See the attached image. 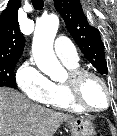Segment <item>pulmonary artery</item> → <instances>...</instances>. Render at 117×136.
Listing matches in <instances>:
<instances>
[{
	"label": "pulmonary artery",
	"instance_id": "1",
	"mask_svg": "<svg viewBox=\"0 0 117 136\" xmlns=\"http://www.w3.org/2000/svg\"><path fill=\"white\" fill-rule=\"evenodd\" d=\"M54 51L58 58L66 64L78 62L77 51L73 43L65 37H58L55 40Z\"/></svg>",
	"mask_w": 117,
	"mask_h": 136
}]
</instances>
